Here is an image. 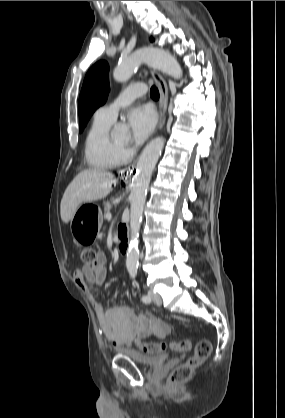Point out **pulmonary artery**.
Masks as SVG:
<instances>
[{
  "instance_id": "e3ab8cb5",
  "label": "pulmonary artery",
  "mask_w": 285,
  "mask_h": 418,
  "mask_svg": "<svg viewBox=\"0 0 285 418\" xmlns=\"http://www.w3.org/2000/svg\"><path fill=\"white\" fill-rule=\"evenodd\" d=\"M146 93V89L142 83H136L127 88L120 96V98L109 106L100 107L96 110L95 116L109 122H114L117 112L130 104L134 99Z\"/></svg>"
}]
</instances>
